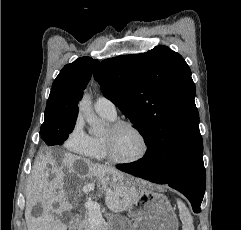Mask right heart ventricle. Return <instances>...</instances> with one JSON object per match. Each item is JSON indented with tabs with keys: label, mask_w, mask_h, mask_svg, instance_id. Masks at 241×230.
Listing matches in <instances>:
<instances>
[{
	"label": "right heart ventricle",
	"mask_w": 241,
	"mask_h": 230,
	"mask_svg": "<svg viewBox=\"0 0 241 230\" xmlns=\"http://www.w3.org/2000/svg\"><path fill=\"white\" fill-rule=\"evenodd\" d=\"M103 118L112 121L114 119L100 114ZM87 157L95 160H104L106 159V153L104 149V142H103V137H97L94 136L92 137V146L88 154H86Z\"/></svg>",
	"instance_id": "1"
}]
</instances>
